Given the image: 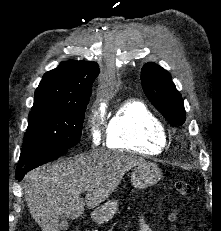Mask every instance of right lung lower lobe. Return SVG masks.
Segmentation results:
<instances>
[{
	"mask_svg": "<svg viewBox=\"0 0 221 231\" xmlns=\"http://www.w3.org/2000/svg\"><path fill=\"white\" fill-rule=\"evenodd\" d=\"M64 153L65 152L59 153V154H51V155L42 156V157H39V158H37V159H35V160H33V161L29 162L28 164H25L23 166L18 165L17 169H16V178L19 181L22 180L24 175L28 171H30V170H32V169H34L40 165H43L47 162L53 161V160L59 158L60 156H62Z\"/></svg>",
	"mask_w": 221,
	"mask_h": 231,
	"instance_id": "1",
	"label": "right lung lower lobe"
}]
</instances>
